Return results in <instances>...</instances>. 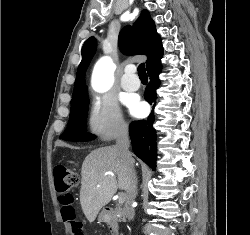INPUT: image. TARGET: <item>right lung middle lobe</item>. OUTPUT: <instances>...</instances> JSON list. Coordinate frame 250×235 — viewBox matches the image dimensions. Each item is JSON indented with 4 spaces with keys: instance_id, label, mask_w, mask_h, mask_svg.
I'll use <instances>...</instances> for the list:
<instances>
[{
    "instance_id": "right-lung-middle-lobe-1",
    "label": "right lung middle lobe",
    "mask_w": 250,
    "mask_h": 235,
    "mask_svg": "<svg viewBox=\"0 0 250 235\" xmlns=\"http://www.w3.org/2000/svg\"><path fill=\"white\" fill-rule=\"evenodd\" d=\"M87 92L71 100L70 119L66 130L60 138L66 141H90L95 136L86 134V117L88 112Z\"/></svg>"
}]
</instances>
